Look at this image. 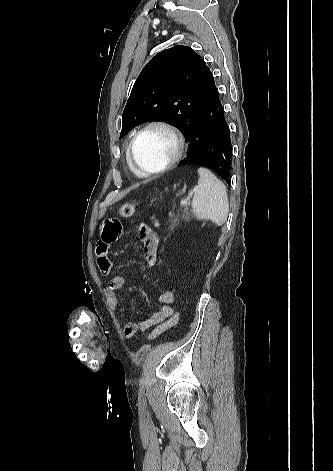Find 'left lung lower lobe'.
Listing matches in <instances>:
<instances>
[{
	"mask_svg": "<svg viewBox=\"0 0 333 471\" xmlns=\"http://www.w3.org/2000/svg\"><path fill=\"white\" fill-rule=\"evenodd\" d=\"M229 133L214 83L187 138L188 156L179 163V166L188 164L207 166L230 184L232 147Z\"/></svg>",
	"mask_w": 333,
	"mask_h": 471,
	"instance_id": "left-lung-lower-lobe-1",
	"label": "left lung lower lobe"
}]
</instances>
